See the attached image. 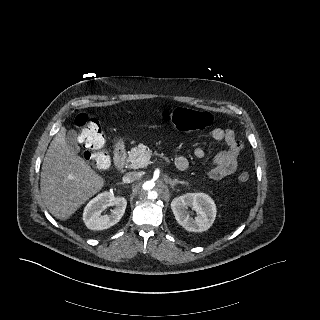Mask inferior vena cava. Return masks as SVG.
I'll return each instance as SVG.
<instances>
[{
    "instance_id": "1",
    "label": "inferior vena cava",
    "mask_w": 320,
    "mask_h": 320,
    "mask_svg": "<svg viewBox=\"0 0 320 320\" xmlns=\"http://www.w3.org/2000/svg\"><path fill=\"white\" fill-rule=\"evenodd\" d=\"M139 177L138 172L132 171L128 172L123 176V182L124 183H132Z\"/></svg>"
}]
</instances>
